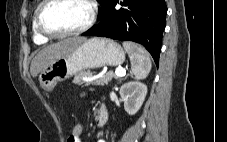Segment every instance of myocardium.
Returning a JSON list of instances; mask_svg holds the SVG:
<instances>
[{"instance_id":"myocardium-1","label":"myocardium","mask_w":227,"mask_h":142,"mask_svg":"<svg viewBox=\"0 0 227 142\" xmlns=\"http://www.w3.org/2000/svg\"><path fill=\"white\" fill-rule=\"evenodd\" d=\"M57 0H44L43 3L40 5L37 14H36V26L37 30L40 34L43 36L49 37V38H64L68 36H73V35H78L81 34L87 30H89L94 23L96 22L97 16H98V5L95 0H84L86 4L89 7L90 10V15L88 21L81 26L78 29L68 31V32H62V33H57V32H52L48 30L44 24H43V14L45 10L50 6L52 3L56 2Z\"/></svg>"}]
</instances>
